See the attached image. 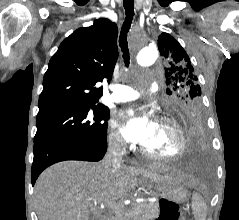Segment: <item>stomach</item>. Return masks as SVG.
<instances>
[{"mask_svg":"<svg viewBox=\"0 0 239 220\" xmlns=\"http://www.w3.org/2000/svg\"><path fill=\"white\" fill-rule=\"evenodd\" d=\"M155 188L161 197L162 212H160L159 220H185L187 217L185 205H179L188 196L183 184L177 181H161L155 185Z\"/></svg>","mask_w":239,"mask_h":220,"instance_id":"stomach-1","label":"stomach"}]
</instances>
